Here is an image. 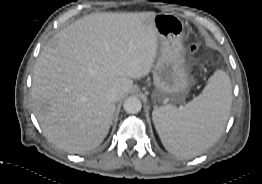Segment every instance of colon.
I'll return each instance as SVG.
<instances>
[{
  "label": "colon",
  "mask_w": 262,
  "mask_h": 184,
  "mask_svg": "<svg viewBox=\"0 0 262 184\" xmlns=\"http://www.w3.org/2000/svg\"><path fill=\"white\" fill-rule=\"evenodd\" d=\"M197 50H198V46H197V45H195V46L192 47V51H193V52H195V51H197Z\"/></svg>",
  "instance_id": "5ec220e1"
}]
</instances>
